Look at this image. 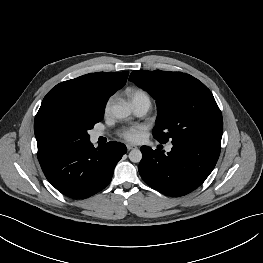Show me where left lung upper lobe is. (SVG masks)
<instances>
[{"label":"left lung upper lobe","mask_w":263,"mask_h":263,"mask_svg":"<svg viewBox=\"0 0 263 263\" xmlns=\"http://www.w3.org/2000/svg\"><path fill=\"white\" fill-rule=\"evenodd\" d=\"M129 80L147 90L158 106L153 136L160 143L221 141L223 119L211 91L181 72L137 70Z\"/></svg>","instance_id":"1"}]
</instances>
